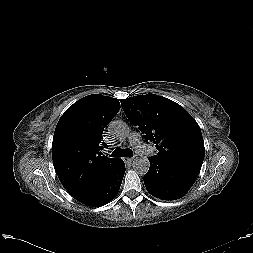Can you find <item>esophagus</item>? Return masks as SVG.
I'll return each mask as SVG.
<instances>
[{
    "label": "esophagus",
    "mask_w": 253,
    "mask_h": 253,
    "mask_svg": "<svg viewBox=\"0 0 253 253\" xmlns=\"http://www.w3.org/2000/svg\"><path fill=\"white\" fill-rule=\"evenodd\" d=\"M134 160H135V158H126L125 161L128 163H132Z\"/></svg>",
    "instance_id": "obj_1"
}]
</instances>
